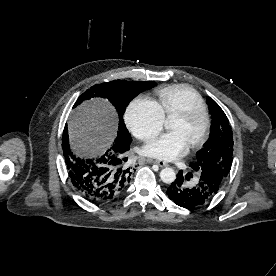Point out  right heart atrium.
<instances>
[{
	"label": "right heart atrium",
	"mask_w": 276,
	"mask_h": 276,
	"mask_svg": "<svg viewBox=\"0 0 276 276\" xmlns=\"http://www.w3.org/2000/svg\"><path fill=\"white\" fill-rule=\"evenodd\" d=\"M125 120L138 139L147 141L162 131L165 117L156 102L138 97L129 104Z\"/></svg>",
	"instance_id": "obj_1"
}]
</instances>
